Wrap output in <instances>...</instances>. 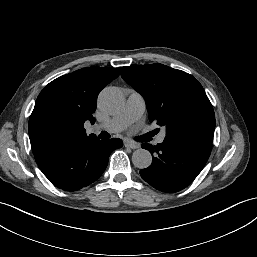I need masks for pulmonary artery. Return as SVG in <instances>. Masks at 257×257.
<instances>
[{"mask_svg": "<svg viewBox=\"0 0 257 257\" xmlns=\"http://www.w3.org/2000/svg\"><path fill=\"white\" fill-rule=\"evenodd\" d=\"M145 112V100L138 92H131L126 100L125 106L119 114L101 123L95 129H104L110 132H120L138 121ZM166 137L163 131L156 137V143L161 144Z\"/></svg>", "mask_w": 257, "mask_h": 257, "instance_id": "pulmonary-artery-1", "label": "pulmonary artery"}]
</instances>
